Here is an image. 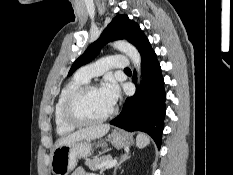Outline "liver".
Segmentation results:
<instances>
[{"label":"liver","instance_id":"1","mask_svg":"<svg viewBox=\"0 0 233 175\" xmlns=\"http://www.w3.org/2000/svg\"><path fill=\"white\" fill-rule=\"evenodd\" d=\"M109 129L110 126L108 124H100L96 126L83 128L72 134L60 138L57 141L55 147L71 144L76 141L98 139L104 136L109 131Z\"/></svg>","mask_w":233,"mask_h":175}]
</instances>
